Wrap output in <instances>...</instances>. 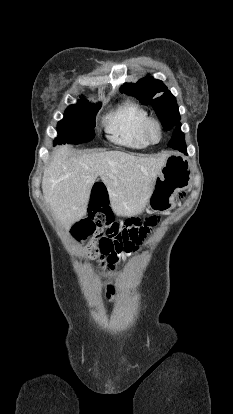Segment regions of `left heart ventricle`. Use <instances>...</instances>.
<instances>
[{"instance_id": "b2bd125f", "label": "left heart ventricle", "mask_w": 233, "mask_h": 414, "mask_svg": "<svg viewBox=\"0 0 233 414\" xmlns=\"http://www.w3.org/2000/svg\"><path fill=\"white\" fill-rule=\"evenodd\" d=\"M152 135H153V137H154L155 139H157L158 134H157V131H156L155 129H153V131H152Z\"/></svg>"}]
</instances>
